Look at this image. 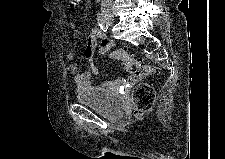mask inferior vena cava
Masks as SVG:
<instances>
[{
    "mask_svg": "<svg viewBox=\"0 0 225 159\" xmlns=\"http://www.w3.org/2000/svg\"><path fill=\"white\" fill-rule=\"evenodd\" d=\"M101 5L103 7H105V6H111L112 5V1L111 0H101Z\"/></svg>",
    "mask_w": 225,
    "mask_h": 159,
    "instance_id": "1",
    "label": "inferior vena cava"
}]
</instances>
